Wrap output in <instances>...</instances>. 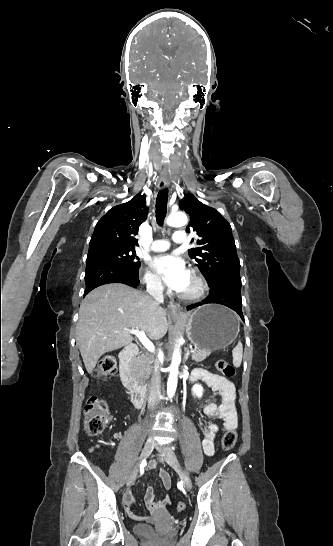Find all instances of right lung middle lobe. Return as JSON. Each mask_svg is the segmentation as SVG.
Instances as JSON below:
<instances>
[{
  "label": "right lung middle lobe",
  "mask_w": 333,
  "mask_h": 546,
  "mask_svg": "<svg viewBox=\"0 0 333 546\" xmlns=\"http://www.w3.org/2000/svg\"><path fill=\"white\" fill-rule=\"evenodd\" d=\"M93 259H104L113 261L124 266L139 269V258L135 254V250L132 248L124 247H103L93 251H89L86 262Z\"/></svg>",
  "instance_id": "dd1d6c3e"
}]
</instances>
